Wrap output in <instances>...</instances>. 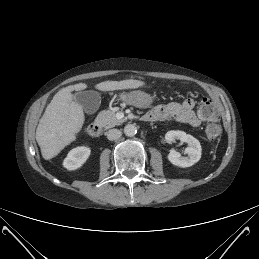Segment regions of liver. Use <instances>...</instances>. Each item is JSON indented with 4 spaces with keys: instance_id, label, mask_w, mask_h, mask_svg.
<instances>
[{
    "instance_id": "6515ba94",
    "label": "liver",
    "mask_w": 259,
    "mask_h": 259,
    "mask_svg": "<svg viewBox=\"0 0 259 259\" xmlns=\"http://www.w3.org/2000/svg\"><path fill=\"white\" fill-rule=\"evenodd\" d=\"M145 83L128 79L121 81H105L95 87L100 91L135 89ZM87 87L85 83L71 85L55 94L41 117L36 130V141L42 157L49 160L57 156L67 145L75 141L76 134L85 121L83 107L73 100L72 91H81Z\"/></svg>"
}]
</instances>
